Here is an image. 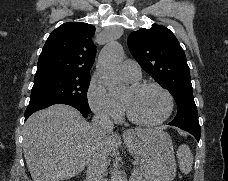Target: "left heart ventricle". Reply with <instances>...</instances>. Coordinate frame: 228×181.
I'll return each mask as SVG.
<instances>
[{"mask_svg":"<svg viewBox=\"0 0 228 181\" xmlns=\"http://www.w3.org/2000/svg\"><path fill=\"white\" fill-rule=\"evenodd\" d=\"M120 77L129 83L126 77ZM123 99L132 112L140 119L154 120L160 117L165 109V98L160 91L147 87L140 91H133L130 86L125 90Z\"/></svg>","mask_w":228,"mask_h":181,"instance_id":"left-heart-ventricle-1","label":"left heart ventricle"}]
</instances>
